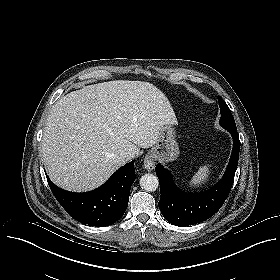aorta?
Wrapping results in <instances>:
<instances>
[{
	"mask_svg": "<svg viewBox=\"0 0 280 280\" xmlns=\"http://www.w3.org/2000/svg\"><path fill=\"white\" fill-rule=\"evenodd\" d=\"M140 186L143 190L152 192L155 191L159 186V180L157 176L153 174H144L140 178Z\"/></svg>",
	"mask_w": 280,
	"mask_h": 280,
	"instance_id": "1",
	"label": "aorta"
}]
</instances>
